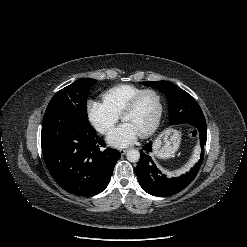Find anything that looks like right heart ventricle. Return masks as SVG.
<instances>
[{
	"label": "right heart ventricle",
	"mask_w": 247,
	"mask_h": 247,
	"mask_svg": "<svg viewBox=\"0 0 247 247\" xmlns=\"http://www.w3.org/2000/svg\"><path fill=\"white\" fill-rule=\"evenodd\" d=\"M143 88L131 85V84H121L106 90L102 97L104 103L115 113L121 115V112L129 101Z\"/></svg>",
	"instance_id": "right-heart-ventricle-1"
}]
</instances>
